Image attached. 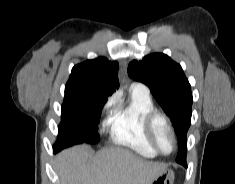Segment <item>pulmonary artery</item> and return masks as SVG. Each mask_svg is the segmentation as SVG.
<instances>
[{"label":"pulmonary artery","instance_id":"pulmonary-artery-1","mask_svg":"<svg viewBox=\"0 0 235 184\" xmlns=\"http://www.w3.org/2000/svg\"><path fill=\"white\" fill-rule=\"evenodd\" d=\"M131 90L141 96H150V89L147 85L140 82H133L131 84Z\"/></svg>","mask_w":235,"mask_h":184}]
</instances>
